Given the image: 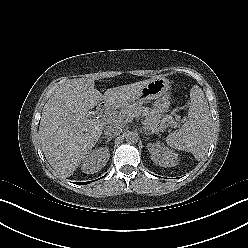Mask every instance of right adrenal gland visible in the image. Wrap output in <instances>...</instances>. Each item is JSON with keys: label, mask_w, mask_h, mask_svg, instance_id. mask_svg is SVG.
Instances as JSON below:
<instances>
[{"label": "right adrenal gland", "mask_w": 248, "mask_h": 248, "mask_svg": "<svg viewBox=\"0 0 248 248\" xmlns=\"http://www.w3.org/2000/svg\"><path fill=\"white\" fill-rule=\"evenodd\" d=\"M103 139H106V145L112 140L113 137H102Z\"/></svg>", "instance_id": "1"}]
</instances>
